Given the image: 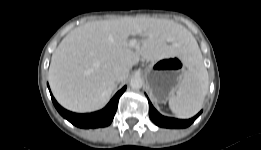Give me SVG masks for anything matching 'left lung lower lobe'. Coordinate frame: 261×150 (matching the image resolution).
Returning a JSON list of instances; mask_svg holds the SVG:
<instances>
[{
  "label": "left lung lower lobe",
  "instance_id": "1",
  "mask_svg": "<svg viewBox=\"0 0 261 150\" xmlns=\"http://www.w3.org/2000/svg\"><path fill=\"white\" fill-rule=\"evenodd\" d=\"M201 112L189 120H179V119H175V118L164 117L156 111V109L153 107V105L149 101L150 118L156 125H158L160 127L186 128L195 121V119L201 114Z\"/></svg>",
  "mask_w": 261,
  "mask_h": 150
}]
</instances>
